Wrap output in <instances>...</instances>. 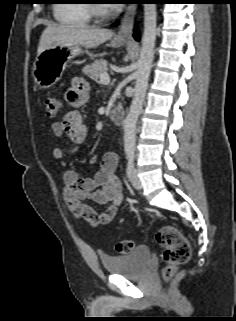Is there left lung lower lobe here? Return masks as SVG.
Returning <instances> with one entry per match:
<instances>
[{
	"label": "left lung lower lobe",
	"instance_id": "1",
	"mask_svg": "<svg viewBox=\"0 0 236 321\" xmlns=\"http://www.w3.org/2000/svg\"><path fill=\"white\" fill-rule=\"evenodd\" d=\"M140 3H146V2H145V1H141ZM113 25H114V26H115V25H117V22H116V23H114ZM134 32H135V34H134V38H135L136 40H139L138 31H137V30H135Z\"/></svg>",
	"mask_w": 236,
	"mask_h": 321
}]
</instances>
